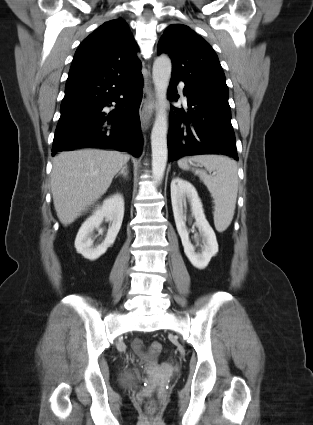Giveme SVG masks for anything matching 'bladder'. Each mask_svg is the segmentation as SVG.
Masks as SVG:
<instances>
[{"instance_id": "bladder-1", "label": "bladder", "mask_w": 313, "mask_h": 425, "mask_svg": "<svg viewBox=\"0 0 313 425\" xmlns=\"http://www.w3.org/2000/svg\"><path fill=\"white\" fill-rule=\"evenodd\" d=\"M139 379V374L130 371V372H125L120 376V384H122L123 386H130L132 385L134 382H136Z\"/></svg>"}]
</instances>
